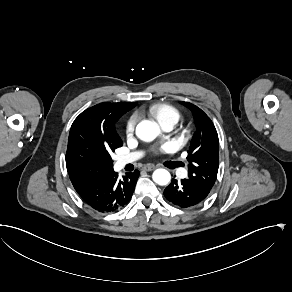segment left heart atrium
<instances>
[{"label": "left heart atrium", "instance_id": "left-heart-atrium-1", "mask_svg": "<svg viewBox=\"0 0 292 292\" xmlns=\"http://www.w3.org/2000/svg\"><path fill=\"white\" fill-rule=\"evenodd\" d=\"M170 150H171V146L168 143L163 144L160 148L161 152H169Z\"/></svg>", "mask_w": 292, "mask_h": 292}]
</instances>
